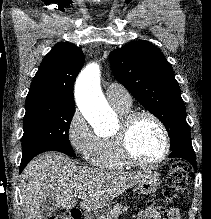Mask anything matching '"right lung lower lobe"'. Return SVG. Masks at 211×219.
Returning a JSON list of instances; mask_svg holds the SVG:
<instances>
[{
	"label": "right lung lower lobe",
	"mask_w": 211,
	"mask_h": 219,
	"mask_svg": "<svg viewBox=\"0 0 211 219\" xmlns=\"http://www.w3.org/2000/svg\"><path fill=\"white\" fill-rule=\"evenodd\" d=\"M37 155V154H36ZM36 155H33V156H30V157H27V158H22L21 160V164H20V167H19V173L22 172V170L24 169V167L29 163V161L35 157Z\"/></svg>",
	"instance_id": "98d812e1"
}]
</instances>
